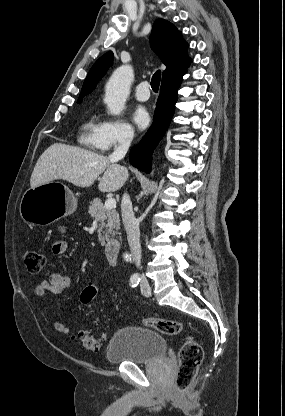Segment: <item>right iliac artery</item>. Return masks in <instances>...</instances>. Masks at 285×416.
<instances>
[{
  "label": "right iliac artery",
  "mask_w": 285,
  "mask_h": 416,
  "mask_svg": "<svg viewBox=\"0 0 285 416\" xmlns=\"http://www.w3.org/2000/svg\"><path fill=\"white\" fill-rule=\"evenodd\" d=\"M140 280L141 279H140V275L139 274H137V273L133 274L131 276V278H130V286L132 288L136 287L139 284Z\"/></svg>",
  "instance_id": "82829eb1"
}]
</instances>
